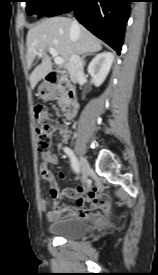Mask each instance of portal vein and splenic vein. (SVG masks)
<instances>
[{"instance_id": "18ae733b", "label": "portal vein and splenic vein", "mask_w": 158, "mask_h": 275, "mask_svg": "<svg viewBox=\"0 0 158 275\" xmlns=\"http://www.w3.org/2000/svg\"><path fill=\"white\" fill-rule=\"evenodd\" d=\"M49 53L52 55V57L54 58V62L56 65H63L64 60L62 57H60L57 53V51L55 50V48L53 47H49L48 48ZM38 55H42V51H39Z\"/></svg>"}]
</instances>
